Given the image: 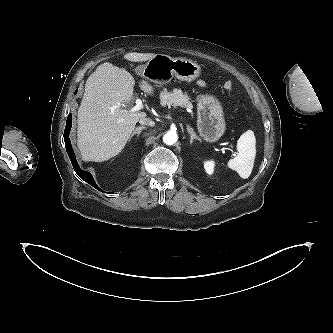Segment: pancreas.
<instances>
[{"label": "pancreas", "mask_w": 333, "mask_h": 333, "mask_svg": "<svg viewBox=\"0 0 333 333\" xmlns=\"http://www.w3.org/2000/svg\"><path fill=\"white\" fill-rule=\"evenodd\" d=\"M160 103L162 106L168 105L192 108L189 96L186 93H183L180 89H173L172 92H167L166 90L161 92Z\"/></svg>", "instance_id": "obj_1"}]
</instances>
